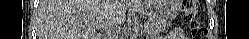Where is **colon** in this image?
<instances>
[{
	"label": "colon",
	"mask_w": 249,
	"mask_h": 39,
	"mask_svg": "<svg viewBox=\"0 0 249 39\" xmlns=\"http://www.w3.org/2000/svg\"><path fill=\"white\" fill-rule=\"evenodd\" d=\"M182 11L185 15V19L189 25L191 30L193 39H202L206 38L207 31L206 29L200 25V23L195 19L196 12L198 10V1L197 0H186L183 2Z\"/></svg>",
	"instance_id": "colon-1"
}]
</instances>
